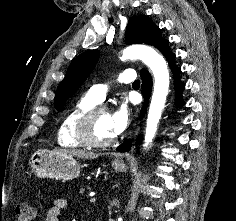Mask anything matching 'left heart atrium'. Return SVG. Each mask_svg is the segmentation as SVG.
Segmentation results:
<instances>
[{
	"label": "left heart atrium",
	"mask_w": 236,
	"mask_h": 221,
	"mask_svg": "<svg viewBox=\"0 0 236 221\" xmlns=\"http://www.w3.org/2000/svg\"><path fill=\"white\" fill-rule=\"evenodd\" d=\"M130 121H131L130 109L125 104L120 105L111 114V125L115 136L123 133L129 126Z\"/></svg>",
	"instance_id": "left-heart-atrium-1"
}]
</instances>
